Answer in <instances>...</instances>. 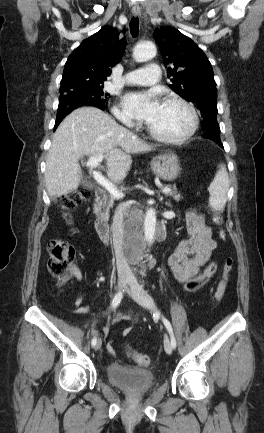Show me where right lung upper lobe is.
Masks as SVG:
<instances>
[{
    "instance_id": "obj_1",
    "label": "right lung upper lobe",
    "mask_w": 264,
    "mask_h": 433,
    "mask_svg": "<svg viewBox=\"0 0 264 433\" xmlns=\"http://www.w3.org/2000/svg\"><path fill=\"white\" fill-rule=\"evenodd\" d=\"M116 29L104 26L85 39L65 63L60 92L101 86L125 51V39Z\"/></svg>"
}]
</instances>
